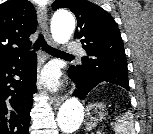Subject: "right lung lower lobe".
<instances>
[{
  "label": "right lung lower lobe",
  "mask_w": 153,
  "mask_h": 134,
  "mask_svg": "<svg viewBox=\"0 0 153 134\" xmlns=\"http://www.w3.org/2000/svg\"><path fill=\"white\" fill-rule=\"evenodd\" d=\"M36 68L34 53L0 64V134H29Z\"/></svg>",
  "instance_id": "obj_1"
}]
</instances>
